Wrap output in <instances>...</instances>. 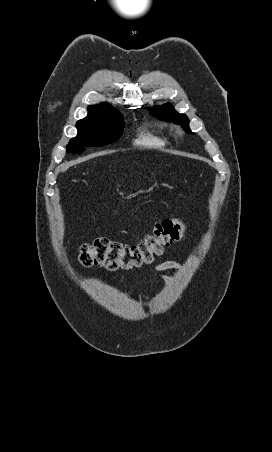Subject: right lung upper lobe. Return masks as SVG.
Masks as SVG:
<instances>
[{"label": "right lung upper lobe", "mask_w": 272, "mask_h": 452, "mask_svg": "<svg viewBox=\"0 0 272 452\" xmlns=\"http://www.w3.org/2000/svg\"><path fill=\"white\" fill-rule=\"evenodd\" d=\"M112 109L113 108L110 107L106 103H102L100 105H91V106L88 107V115H87V117L82 119V120H79L78 122L85 121V120H88V119L100 116V115H102V114H104V113H106V112H108V111H110Z\"/></svg>", "instance_id": "cb5924a9"}]
</instances>
